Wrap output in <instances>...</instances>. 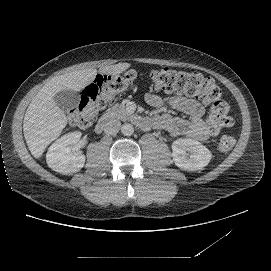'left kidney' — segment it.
Segmentation results:
<instances>
[{"label": "left kidney", "mask_w": 271, "mask_h": 271, "mask_svg": "<svg viewBox=\"0 0 271 271\" xmlns=\"http://www.w3.org/2000/svg\"><path fill=\"white\" fill-rule=\"evenodd\" d=\"M173 159L176 165L187 171H196L205 167L210 159L209 150L199 141L180 138L173 142Z\"/></svg>", "instance_id": "left-kidney-1"}]
</instances>
